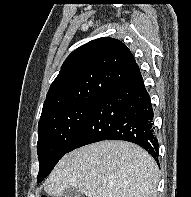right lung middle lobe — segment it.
I'll return each instance as SVG.
<instances>
[{
    "label": "right lung middle lobe",
    "mask_w": 191,
    "mask_h": 197,
    "mask_svg": "<svg viewBox=\"0 0 191 197\" xmlns=\"http://www.w3.org/2000/svg\"><path fill=\"white\" fill-rule=\"evenodd\" d=\"M97 102L80 104L57 111L39 121L37 153L41 182L67 153Z\"/></svg>",
    "instance_id": "dd1d6c3e"
}]
</instances>
